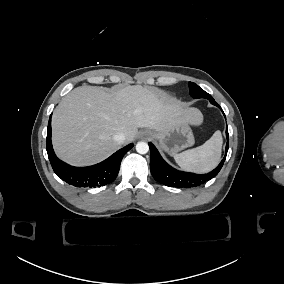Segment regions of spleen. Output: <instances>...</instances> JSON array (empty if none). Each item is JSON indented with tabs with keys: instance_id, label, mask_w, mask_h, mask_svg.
Wrapping results in <instances>:
<instances>
[{
	"instance_id": "spleen-1",
	"label": "spleen",
	"mask_w": 284,
	"mask_h": 284,
	"mask_svg": "<svg viewBox=\"0 0 284 284\" xmlns=\"http://www.w3.org/2000/svg\"><path fill=\"white\" fill-rule=\"evenodd\" d=\"M223 138L217 130L203 145L175 154L174 159L181 169L196 173H207L220 162Z\"/></svg>"
}]
</instances>
